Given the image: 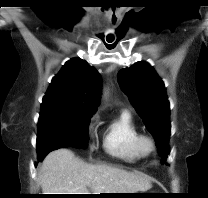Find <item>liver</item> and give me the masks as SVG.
I'll list each match as a JSON object with an SVG mask.
<instances>
[{"label": "liver", "instance_id": "liver-1", "mask_svg": "<svg viewBox=\"0 0 208 198\" xmlns=\"http://www.w3.org/2000/svg\"><path fill=\"white\" fill-rule=\"evenodd\" d=\"M38 181L43 194L135 193L152 187L141 175L108 165L85 163L67 149L47 155Z\"/></svg>", "mask_w": 208, "mask_h": 198}]
</instances>
